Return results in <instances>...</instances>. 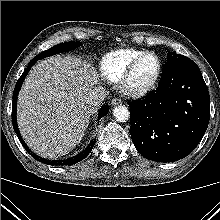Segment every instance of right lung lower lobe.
Wrapping results in <instances>:
<instances>
[{
    "mask_svg": "<svg viewBox=\"0 0 220 220\" xmlns=\"http://www.w3.org/2000/svg\"><path fill=\"white\" fill-rule=\"evenodd\" d=\"M36 62L35 59H32L26 70L23 72V74L21 75V77L19 78V80L17 81L16 83V86L14 88V92H13V103H12V111H13V116H12V123H13V127H14V130L20 140V142L22 143V145L24 146V148L26 149V151L32 156L34 157L36 160L42 162V163H45V164H49V165H71V164H75V163H78L80 162L81 160H83L92 150L94 144H95V140H92L91 143L89 144V146L84 150L82 151L81 153H79L78 155L72 157V158H69V159H65V160H55V161H51V160H48V159H44V158H41L39 157L38 155L34 154L28 147L27 145L25 144V142L23 141L21 135H20V132H19V129H18V126H17V119H16V109H17V96H18V93H19V90L21 88V85L27 75V73L29 72V70L31 69V67L34 65V63ZM109 111V107L108 106H103L101 109H100V112H99V119L102 118L103 116H105Z\"/></svg>",
    "mask_w": 220,
    "mask_h": 220,
    "instance_id": "98d812e1",
    "label": "right lung lower lobe"
}]
</instances>
